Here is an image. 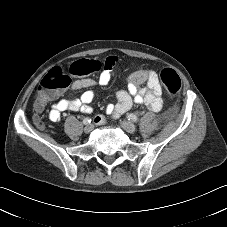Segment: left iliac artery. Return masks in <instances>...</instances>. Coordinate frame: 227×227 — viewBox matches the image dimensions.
Masks as SVG:
<instances>
[{
  "instance_id": "left-iliac-artery-1",
  "label": "left iliac artery",
  "mask_w": 227,
  "mask_h": 227,
  "mask_svg": "<svg viewBox=\"0 0 227 227\" xmlns=\"http://www.w3.org/2000/svg\"><path fill=\"white\" fill-rule=\"evenodd\" d=\"M128 119L134 122L138 121V117L132 113L128 115Z\"/></svg>"
}]
</instances>
